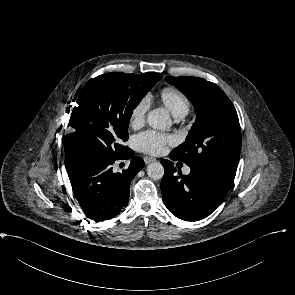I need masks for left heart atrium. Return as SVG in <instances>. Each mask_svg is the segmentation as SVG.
I'll use <instances>...</instances> for the list:
<instances>
[{"mask_svg": "<svg viewBox=\"0 0 295 295\" xmlns=\"http://www.w3.org/2000/svg\"><path fill=\"white\" fill-rule=\"evenodd\" d=\"M134 142L141 152L158 155L165 151L166 145L172 142V138L157 131L148 130L135 136Z\"/></svg>", "mask_w": 295, "mask_h": 295, "instance_id": "39dd6f15", "label": "left heart atrium"}]
</instances>
